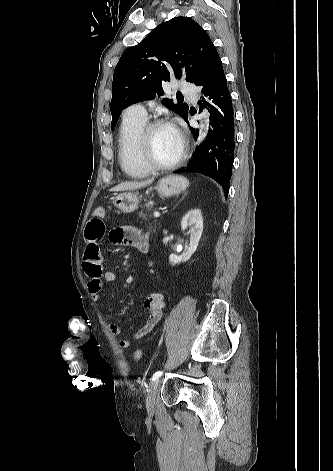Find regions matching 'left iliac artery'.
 Listing matches in <instances>:
<instances>
[{"instance_id": "1", "label": "left iliac artery", "mask_w": 333, "mask_h": 471, "mask_svg": "<svg viewBox=\"0 0 333 471\" xmlns=\"http://www.w3.org/2000/svg\"><path fill=\"white\" fill-rule=\"evenodd\" d=\"M163 374L162 371H157L152 376V381L157 380Z\"/></svg>"}]
</instances>
